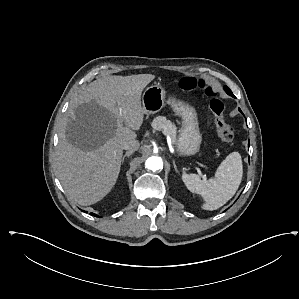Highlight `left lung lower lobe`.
<instances>
[{
    "label": "left lung lower lobe",
    "instance_id": "obj_1",
    "mask_svg": "<svg viewBox=\"0 0 299 299\" xmlns=\"http://www.w3.org/2000/svg\"><path fill=\"white\" fill-rule=\"evenodd\" d=\"M232 97H235L234 95H231ZM240 110V109H239ZM240 112L242 113V111L240 110Z\"/></svg>",
    "mask_w": 299,
    "mask_h": 299
}]
</instances>
